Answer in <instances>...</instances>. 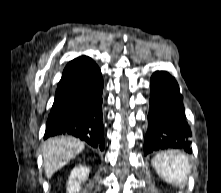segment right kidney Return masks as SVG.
I'll return each instance as SVG.
<instances>
[{
	"label": "right kidney",
	"instance_id": "ca27d5eb",
	"mask_svg": "<svg viewBox=\"0 0 221 193\" xmlns=\"http://www.w3.org/2000/svg\"><path fill=\"white\" fill-rule=\"evenodd\" d=\"M89 175V169L86 166H76L70 174L67 182L68 193H79L81 190V183L84 182Z\"/></svg>",
	"mask_w": 221,
	"mask_h": 193
}]
</instances>
